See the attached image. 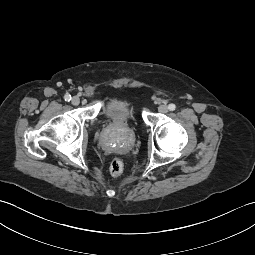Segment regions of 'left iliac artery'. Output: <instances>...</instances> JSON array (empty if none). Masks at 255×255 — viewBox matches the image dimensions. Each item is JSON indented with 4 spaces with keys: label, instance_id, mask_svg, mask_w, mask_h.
<instances>
[{
    "label": "left iliac artery",
    "instance_id": "1",
    "mask_svg": "<svg viewBox=\"0 0 255 255\" xmlns=\"http://www.w3.org/2000/svg\"><path fill=\"white\" fill-rule=\"evenodd\" d=\"M168 109L170 110V111H174L175 109H176V106H175V104H169L168 105Z\"/></svg>",
    "mask_w": 255,
    "mask_h": 255
}]
</instances>
